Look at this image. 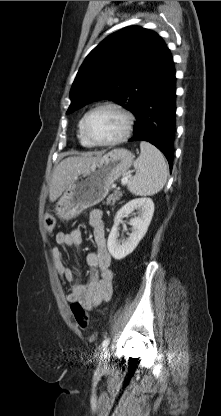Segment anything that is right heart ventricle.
Instances as JSON below:
<instances>
[{
    "mask_svg": "<svg viewBox=\"0 0 221 416\" xmlns=\"http://www.w3.org/2000/svg\"><path fill=\"white\" fill-rule=\"evenodd\" d=\"M78 139H79V141H80V143L83 145V146H86V147H91V146H93L84 136H83V134H82V132H81V122H80V124H79V130H78Z\"/></svg>",
    "mask_w": 221,
    "mask_h": 416,
    "instance_id": "obj_1",
    "label": "right heart ventricle"
}]
</instances>
